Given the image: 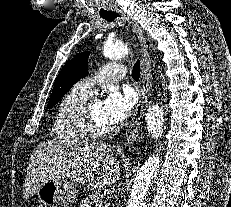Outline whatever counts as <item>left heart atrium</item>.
Listing matches in <instances>:
<instances>
[{
    "label": "left heart atrium",
    "instance_id": "left-heart-atrium-1",
    "mask_svg": "<svg viewBox=\"0 0 231 207\" xmlns=\"http://www.w3.org/2000/svg\"><path fill=\"white\" fill-rule=\"evenodd\" d=\"M135 101V95L129 89L122 92L117 89L111 90L101 102L103 117L115 126L127 118Z\"/></svg>",
    "mask_w": 231,
    "mask_h": 207
}]
</instances>
